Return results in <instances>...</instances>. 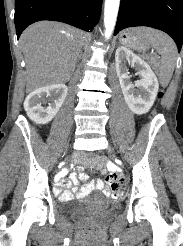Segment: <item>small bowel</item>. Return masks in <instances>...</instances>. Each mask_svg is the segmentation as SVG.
I'll return each instance as SVG.
<instances>
[{
	"label": "small bowel",
	"instance_id": "small-bowel-1",
	"mask_svg": "<svg viewBox=\"0 0 183 246\" xmlns=\"http://www.w3.org/2000/svg\"><path fill=\"white\" fill-rule=\"evenodd\" d=\"M106 165H110L112 174H108V183L101 179L87 181L83 188H75L78 179L87 180L86 175L73 172L74 166L70 165L69 169H58L54 174V179H58L54 186V194L61 200H71L75 197H81L94 189L102 190L106 195L113 198H126L124 187H133V182H128V178H124L123 169H119V165H113V160H106ZM82 167H80L81 169ZM65 174L69 175V180L65 181ZM60 179V180H59ZM113 179H119V182H111Z\"/></svg>",
	"mask_w": 183,
	"mask_h": 246
}]
</instances>
